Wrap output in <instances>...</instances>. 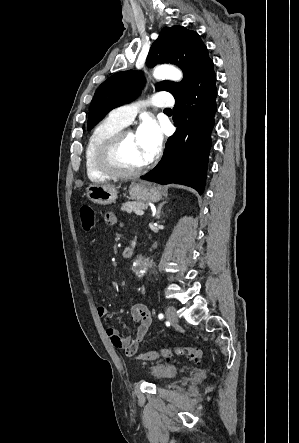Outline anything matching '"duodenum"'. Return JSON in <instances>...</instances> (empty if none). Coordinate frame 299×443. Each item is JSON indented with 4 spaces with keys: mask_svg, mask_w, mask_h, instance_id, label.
Returning <instances> with one entry per match:
<instances>
[{
    "mask_svg": "<svg viewBox=\"0 0 299 443\" xmlns=\"http://www.w3.org/2000/svg\"><path fill=\"white\" fill-rule=\"evenodd\" d=\"M134 250H135V243H131L127 247L124 248L121 256L123 258H128L133 254Z\"/></svg>",
    "mask_w": 299,
    "mask_h": 443,
    "instance_id": "duodenum-1",
    "label": "duodenum"
}]
</instances>
